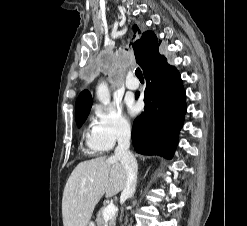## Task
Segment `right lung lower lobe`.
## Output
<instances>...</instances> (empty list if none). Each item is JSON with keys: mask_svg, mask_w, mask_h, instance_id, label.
I'll use <instances>...</instances> for the list:
<instances>
[{"mask_svg": "<svg viewBox=\"0 0 247 226\" xmlns=\"http://www.w3.org/2000/svg\"><path fill=\"white\" fill-rule=\"evenodd\" d=\"M143 71L145 108L133 124V146L141 154L172 158L186 113L181 77L160 47L147 53Z\"/></svg>", "mask_w": 247, "mask_h": 226, "instance_id": "right-lung-lower-lobe-1", "label": "right lung lower lobe"}]
</instances>
